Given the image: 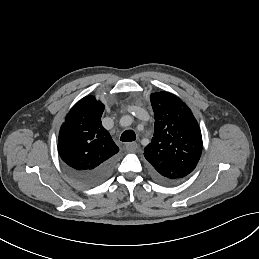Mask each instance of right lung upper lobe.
<instances>
[{"label": "right lung upper lobe", "mask_w": 259, "mask_h": 259, "mask_svg": "<svg viewBox=\"0 0 259 259\" xmlns=\"http://www.w3.org/2000/svg\"><path fill=\"white\" fill-rule=\"evenodd\" d=\"M103 110L100 101L87 96L67 114L59 132L58 153L69 167L93 169L118 153L119 148L102 126Z\"/></svg>", "instance_id": "right-lung-upper-lobe-1"}]
</instances>
